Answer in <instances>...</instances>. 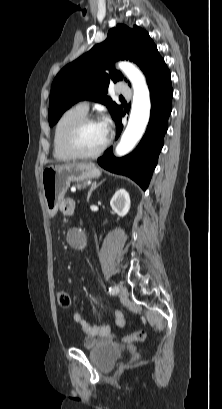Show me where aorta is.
Here are the masks:
<instances>
[{"mask_svg":"<svg viewBox=\"0 0 222 409\" xmlns=\"http://www.w3.org/2000/svg\"><path fill=\"white\" fill-rule=\"evenodd\" d=\"M120 70L127 76L133 86V101L127 127L116 146V156L128 154L142 138L150 118V95L143 74L132 64L119 63ZM75 236L82 239L83 233L77 231Z\"/></svg>","mask_w":222,"mask_h":409,"instance_id":"aorta-1","label":"aorta"}]
</instances>
